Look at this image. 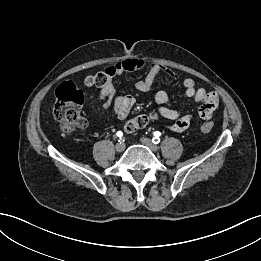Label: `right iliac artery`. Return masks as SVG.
<instances>
[{"mask_svg": "<svg viewBox=\"0 0 261 261\" xmlns=\"http://www.w3.org/2000/svg\"><path fill=\"white\" fill-rule=\"evenodd\" d=\"M117 136L120 137V138H119V142H120V143H121V142H124L123 138H121V137L123 136V133H122L121 131H118V132H117Z\"/></svg>", "mask_w": 261, "mask_h": 261, "instance_id": "right-iliac-artery-1", "label": "right iliac artery"}]
</instances>
